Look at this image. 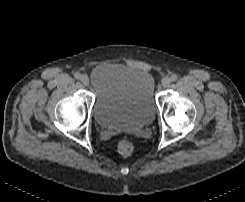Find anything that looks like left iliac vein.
<instances>
[{"label": "left iliac vein", "instance_id": "left-iliac-vein-1", "mask_svg": "<svg viewBox=\"0 0 245 202\" xmlns=\"http://www.w3.org/2000/svg\"><path fill=\"white\" fill-rule=\"evenodd\" d=\"M170 83H171L170 78H168V77L163 78V80H162V86L164 88H167L170 85Z\"/></svg>", "mask_w": 245, "mask_h": 202}]
</instances>
